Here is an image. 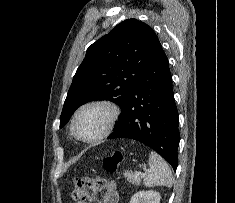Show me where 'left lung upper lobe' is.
I'll return each mask as SVG.
<instances>
[{"mask_svg":"<svg viewBox=\"0 0 235 203\" xmlns=\"http://www.w3.org/2000/svg\"><path fill=\"white\" fill-rule=\"evenodd\" d=\"M159 44L149 25L127 19L89 46L64 102L60 128L78 107L93 100H110L122 114Z\"/></svg>","mask_w":235,"mask_h":203,"instance_id":"obj_1","label":"left lung upper lobe"}]
</instances>
